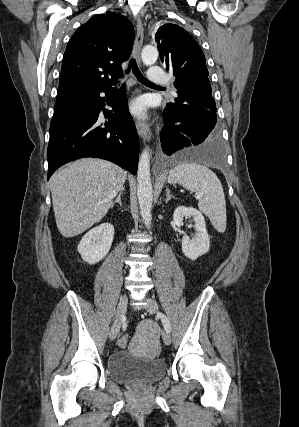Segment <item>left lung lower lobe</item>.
<instances>
[{
    "mask_svg": "<svg viewBox=\"0 0 299 427\" xmlns=\"http://www.w3.org/2000/svg\"><path fill=\"white\" fill-rule=\"evenodd\" d=\"M213 110L208 103L178 95L163 111L165 126L160 133L163 152L173 159L222 165L221 134Z\"/></svg>",
    "mask_w": 299,
    "mask_h": 427,
    "instance_id": "0a47b994",
    "label": "left lung lower lobe"
}]
</instances>
